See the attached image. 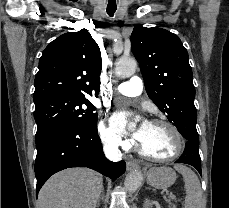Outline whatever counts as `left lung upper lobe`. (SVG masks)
<instances>
[{"label":"left lung upper lobe","instance_id":"obj_1","mask_svg":"<svg viewBox=\"0 0 229 208\" xmlns=\"http://www.w3.org/2000/svg\"><path fill=\"white\" fill-rule=\"evenodd\" d=\"M130 40L149 98L180 134L196 129L193 74L180 38L162 28L137 25Z\"/></svg>","mask_w":229,"mask_h":208}]
</instances>
